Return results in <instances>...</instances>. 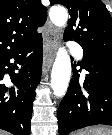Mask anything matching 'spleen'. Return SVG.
Instances as JSON below:
<instances>
[{
	"label": "spleen",
	"instance_id": "obj_1",
	"mask_svg": "<svg viewBox=\"0 0 112 135\" xmlns=\"http://www.w3.org/2000/svg\"><path fill=\"white\" fill-rule=\"evenodd\" d=\"M75 135H112V129L104 126H97L90 131L77 132Z\"/></svg>",
	"mask_w": 112,
	"mask_h": 135
}]
</instances>
